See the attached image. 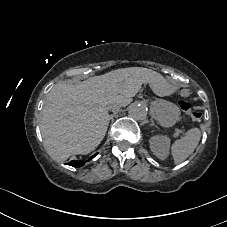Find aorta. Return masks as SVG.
<instances>
[{
	"label": "aorta",
	"instance_id": "obj_1",
	"mask_svg": "<svg viewBox=\"0 0 227 227\" xmlns=\"http://www.w3.org/2000/svg\"><path fill=\"white\" fill-rule=\"evenodd\" d=\"M129 116L135 120H143L147 117V108L143 104L133 103L128 109Z\"/></svg>",
	"mask_w": 227,
	"mask_h": 227
}]
</instances>
